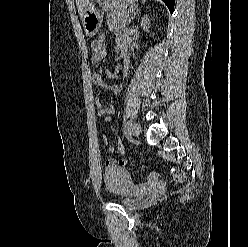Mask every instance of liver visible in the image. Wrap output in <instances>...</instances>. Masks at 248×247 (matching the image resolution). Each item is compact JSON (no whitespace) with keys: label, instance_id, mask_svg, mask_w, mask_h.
I'll use <instances>...</instances> for the list:
<instances>
[{"label":"liver","instance_id":"1","mask_svg":"<svg viewBox=\"0 0 248 247\" xmlns=\"http://www.w3.org/2000/svg\"><path fill=\"white\" fill-rule=\"evenodd\" d=\"M92 1L94 0H76V5L78 8V13L80 15V18L82 17L85 7Z\"/></svg>","mask_w":248,"mask_h":247}]
</instances>
